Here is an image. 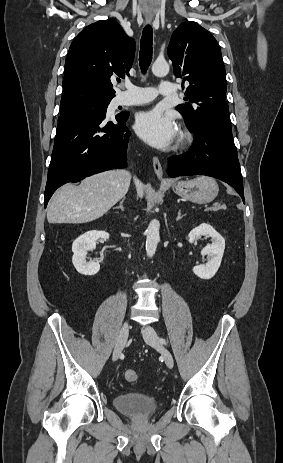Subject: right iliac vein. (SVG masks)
<instances>
[{
	"mask_svg": "<svg viewBox=\"0 0 283 463\" xmlns=\"http://www.w3.org/2000/svg\"><path fill=\"white\" fill-rule=\"evenodd\" d=\"M129 335V323L128 321H125L119 331L115 347L113 350V355H112V360L116 361L120 354L122 353V350L126 344V341L128 339Z\"/></svg>",
	"mask_w": 283,
	"mask_h": 463,
	"instance_id": "obj_1",
	"label": "right iliac vein"
}]
</instances>
